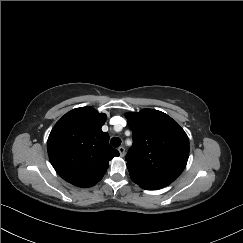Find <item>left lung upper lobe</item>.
<instances>
[{"label": "left lung upper lobe", "instance_id": "1", "mask_svg": "<svg viewBox=\"0 0 243 243\" xmlns=\"http://www.w3.org/2000/svg\"><path fill=\"white\" fill-rule=\"evenodd\" d=\"M133 133L126 155L133 182L142 188L173 182L184 170L189 157V139L167 114L144 109L125 114Z\"/></svg>", "mask_w": 243, "mask_h": 243}]
</instances>
